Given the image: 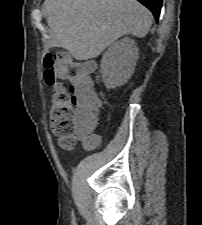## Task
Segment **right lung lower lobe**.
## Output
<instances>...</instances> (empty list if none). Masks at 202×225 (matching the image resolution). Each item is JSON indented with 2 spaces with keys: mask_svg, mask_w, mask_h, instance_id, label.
<instances>
[{
  "mask_svg": "<svg viewBox=\"0 0 202 225\" xmlns=\"http://www.w3.org/2000/svg\"><path fill=\"white\" fill-rule=\"evenodd\" d=\"M144 6H146L154 15L155 19L158 20L160 9L162 7V0H138Z\"/></svg>",
  "mask_w": 202,
  "mask_h": 225,
  "instance_id": "1",
  "label": "right lung lower lobe"
}]
</instances>
